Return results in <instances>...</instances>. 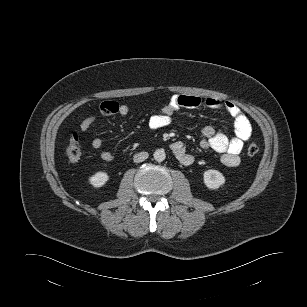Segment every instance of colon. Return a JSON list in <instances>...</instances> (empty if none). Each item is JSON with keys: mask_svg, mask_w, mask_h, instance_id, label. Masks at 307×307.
Segmentation results:
<instances>
[{"mask_svg": "<svg viewBox=\"0 0 307 307\" xmlns=\"http://www.w3.org/2000/svg\"><path fill=\"white\" fill-rule=\"evenodd\" d=\"M259 152V146L255 143H251L247 147V154L249 156H255ZM66 155L69 160L77 161L80 158L81 150L79 144V138L77 134H74L70 139L66 147Z\"/></svg>", "mask_w": 307, "mask_h": 307, "instance_id": "obj_1", "label": "colon"}]
</instances>
